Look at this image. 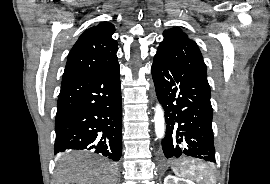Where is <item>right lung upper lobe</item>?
I'll return each instance as SVG.
<instances>
[{
	"instance_id": "cb5924a9",
	"label": "right lung upper lobe",
	"mask_w": 270,
	"mask_h": 184,
	"mask_svg": "<svg viewBox=\"0 0 270 184\" xmlns=\"http://www.w3.org/2000/svg\"><path fill=\"white\" fill-rule=\"evenodd\" d=\"M114 30L112 23L101 22L84 31L68 55L62 82L118 65Z\"/></svg>"
}]
</instances>
